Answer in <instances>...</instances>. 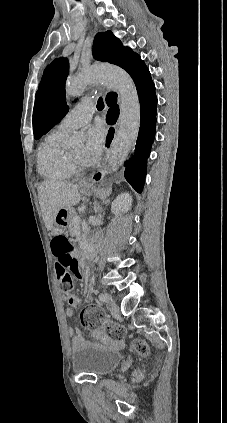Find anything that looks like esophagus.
<instances>
[{"label":"esophagus","mask_w":227,"mask_h":423,"mask_svg":"<svg viewBox=\"0 0 227 423\" xmlns=\"http://www.w3.org/2000/svg\"><path fill=\"white\" fill-rule=\"evenodd\" d=\"M108 128H109L107 132L108 135L106 136L105 142L103 143V146L105 147V152H104L101 165L98 168V170L95 173H93V175L87 178V182H101L103 178L105 177V174H106L105 167L108 160L109 151L112 147V143L114 142L115 135L117 134V131H116L117 127L115 124L113 123L110 124Z\"/></svg>","instance_id":"34e87169"}]
</instances>
